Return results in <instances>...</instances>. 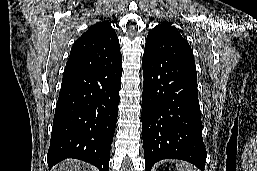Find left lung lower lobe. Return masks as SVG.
<instances>
[{
    "label": "left lung lower lobe",
    "instance_id": "left-lung-lower-lobe-1",
    "mask_svg": "<svg viewBox=\"0 0 257 171\" xmlns=\"http://www.w3.org/2000/svg\"><path fill=\"white\" fill-rule=\"evenodd\" d=\"M142 134L146 171L162 159L188 161L204 171L195 64L168 52L144 51Z\"/></svg>",
    "mask_w": 257,
    "mask_h": 171
}]
</instances>
